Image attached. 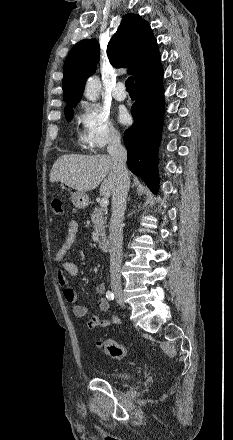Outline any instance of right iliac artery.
Wrapping results in <instances>:
<instances>
[{
  "label": "right iliac artery",
  "instance_id": "1",
  "mask_svg": "<svg viewBox=\"0 0 233 440\" xmlns=\"http://www.w3.org/2000/svg\"><path fill=\"white\" fill-rule=\"evenodd\" d=\"M106 297L108 298V300H113L114 299V294L111 291H107L106 292Z\"/></svg>",
  "mask_w": 233,
  "mask_h": 440
}]
</instances>
